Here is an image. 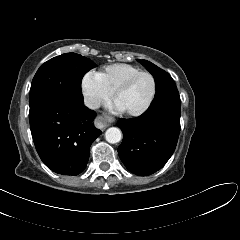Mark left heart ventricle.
I'll return each instance as SVG.
<instances>
[{"label":"left heart ventricle","instance_id":"obj_1","mask_svg":"<svg viewBox=\"0 0 240 240\" xmlns=\"http://www.w3.org/2000/svg\"><path fill=\"white\" fill-rule=\"evenodd\" d=\"M153 83L148 75H142L124 91L118 100L126 110H138L146 105L152 94Z\"/></svg>","mask_w":240,"mask_h":240}]
</instances>
